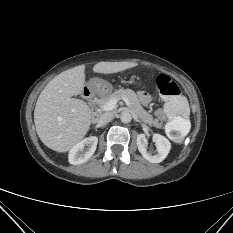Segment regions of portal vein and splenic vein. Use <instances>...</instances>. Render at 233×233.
I'll return each instance as SVG.
<instances>
[{
    "instance_id": "portal-vein-and-splenic-vein-1",
    "label": "portal vein and splenic vein",
    "mask_w": 233,
    "mask_h": 233,
    "mask_svg": "<svg viewBox=\"0 0 233 233\" xmlns=\"http://www.w3.org/2000/svg\"><path fill=\"white\" fill-rule=\"evenodd\" d=\"M121 99L127 104V106L130 105L128 98L122 97ZM118 101L119 99L113 98L109 100L106 104L102 105L101 109L104 111H110L116 107Z\"/></svg>"
}]
</instances>
